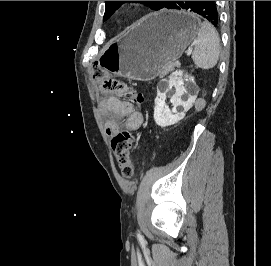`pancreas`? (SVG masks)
<instances>
[{
    "instance_id": "1",
    "label": "pancreas",
    "mask_w": 271,
    "mask_h": 266,
    "mask_svg": "<svg viewBox=\"0 0 271 266\" xmlns=\"http://www.w3.org/2000/svg\"><path fill=\"white\" fill-rule=\"evenodd\" d=\"M177 67L178 65L176 62L167 64L161 71L160 76H165L167 73L174 71Z\"/></svg>"
}]
</instances>
